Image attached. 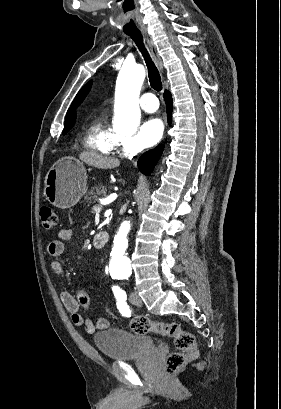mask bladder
I'll return each instance as SVG.
<instances>
[{
  "label": "bladder",
  "mask_w": 281,
  "mask_h": 409,
  "mask_svg": "<svg viewBox=\"0 0 281 409\" xmlns=\"http://www.w3.org/2000/svg\"><path fill=\"white\" fill-rule=\"evenodd\" d=\"M92 343L108 361L128 362L134 355H157L158 343L148 334L106 327L92 336Z\"/></svg>",
  "instance_id": "obj_1"
}]
</instances>
